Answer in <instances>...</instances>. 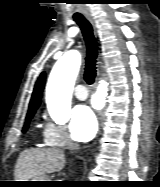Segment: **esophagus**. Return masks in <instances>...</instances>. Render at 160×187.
<instances>
[{
  "label": "esophagus",
  "instance_id": "1",
  "mask_svg": "<svg viewBox=\"0 0 160 187\" xmlns=\"http://www.w3.org/2000/svg\"><path fill=\"white\" fill-rule=\"evenodd\" d=\"M87 17V19L93 24L94 23V21H93V19L90 17V16H86Z\"/></svg>",
  "mask_w": 160,
  "mask_h": 187
}]
</instances>
